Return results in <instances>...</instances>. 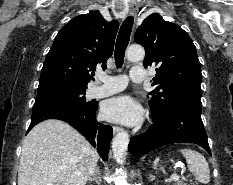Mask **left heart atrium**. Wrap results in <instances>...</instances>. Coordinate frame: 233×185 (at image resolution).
Instances as JSON below:
<instances>
[{"mask_svg":"<svg viewBox=\"0 0 233 185\" xmlns=\"http://www.w3.org/2000/svg\"><path fill=\"white\" fill-rule=\"evenodd\" d=\"M103 112L108 120L125 125H135L143 116L142 107L129 95L109 99L104 105Z\"/></svg>","mask_w":233,"mask_h":185,"instance_id":"obj_1","label":"left heart atrium"}]
</instances>
